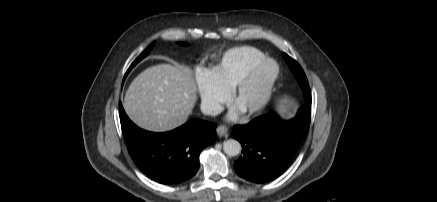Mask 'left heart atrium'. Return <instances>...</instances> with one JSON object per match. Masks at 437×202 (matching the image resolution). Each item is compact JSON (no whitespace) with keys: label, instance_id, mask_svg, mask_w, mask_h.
Listing matches in <instances>:
<instances>
[{"label":"left heart atrium","instance_id":"obj_1","mask_svg":"<svg viewBox=\"0 0 437 202\" xmlns=\"http://www.w3.org/2000/svg\"><path fill=\"white\" fill-rule=\"evenodd\" d=\"M238 113H239V110L236 107H234L229 113V118H231V119L236 118Z\"/></svg>","mask_w":437,"mask_h":202}]
</instances>
